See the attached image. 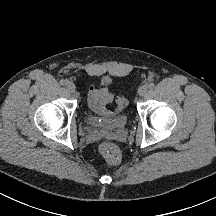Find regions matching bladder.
I'll use <instances>...</instances> for the list:
<instances>
[{
	"label": "bladder",
	"instance_id": "bladder-1",
	"mask_svg": "<svg viewBox=\"0 0 216 216\" xmlns=\"http://www.w3.org/2000/svg\"><path fill=\"white\" fill-rule=\"evenodd\" d=\"M87 121L90 124L99 125L98 119L91 114L86 115ZM127 114L126 112L118 113L111 121L107 122L105 126L112 129H122L126 126Z\"/></svg>",
	"mask_w": 216,
	"mask_h": 216
}]
</instances>
